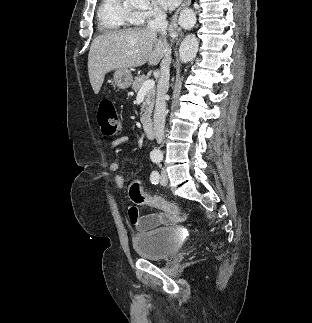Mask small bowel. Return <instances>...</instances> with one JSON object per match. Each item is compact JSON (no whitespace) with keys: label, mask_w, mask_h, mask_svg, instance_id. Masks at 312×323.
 Masks as SVG:
<instances>
[{"label":"small bowel","mask_w":312,"mask_h":323,"mask_svg":"<svg viewBox=\"0 0 312 323\" xmlns=\"http://www.w3.org/2000/svg\"><path fill=\"white\" fill-rule=\"evenodd\" d=\"M128 142V136H121L112 141L111 147L118 148L127 144ZM109 169L111 172H118L119 163L117 161L111 162L109 164ZM114 181L120 189H123L125 187V179L123 176L119 174L115 175ZM128 217L131 224L139 231H148L159 226H169L175 223V218L168 213H150L146 215H140L137 211L136 216H129L128 214Z\"/></svg>","instance_id":"c3829d8e"}]
</instances>
